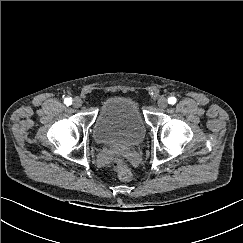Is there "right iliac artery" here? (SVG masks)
<instances>
[{
	"mask_svg": "<svg viewBox=\"0 0 243 243\" xmlns=\"http://www.w3.org/2000/svg\"><path fill=\"white\" fill-rule=\"evenodd\" d=\"M64 103L69 106L72 104V99L71 98H65Z\"/></svg>",
	"mask_w": 243,
	"mask_h": 243,
	"instance_id": "82829eb1",
	"label": "right iliac artery"
}]
</instances>
